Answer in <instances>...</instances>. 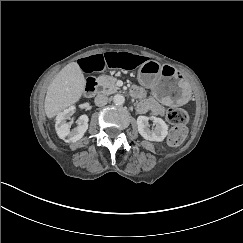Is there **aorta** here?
Instances as JSON below:
<instances>
[{
  "mask_svg": "<svg viewBox=\"0 0 243 243\" xmlns=\"http://www.w3.org/2000/svg\"><path fill=\"white\" fill-rule=\"evenodd\" d=\"M112 101L115 105H123L125 103V97L122 94H115Z\"/></svg>",
  "mask_w": 243,
  "mask_h": 243,
  "instance_id": "aorta-1",
  "label": "aorta"
}]
</instances>
